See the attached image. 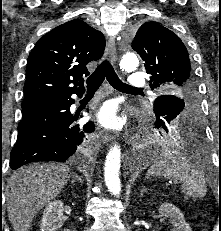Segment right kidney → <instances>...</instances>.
Listing matches in <instances>:
<instances>
[{
    "label": "right kidney",
    "mask_w": 221,
    "mask_h": 231,
    "mask_svg": "<svg viewBox=\"0 0 221 231\" xmlns=\"http://www.w3.org/2000/svg\"><path fill=\"white\" fill-rule=\"evenodd\" d=\"M63 203L55 200L48 204L43 212L40 231H57L62 225Z\"/></svg>",
    "instance_id": "1"
}]
</instances>
